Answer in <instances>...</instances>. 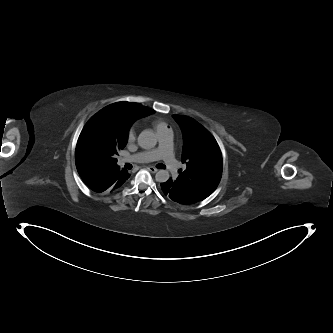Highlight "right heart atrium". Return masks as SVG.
<instances>
[{
	"label": "right heart atrium",
	"instance_id": "1",
	"mask_svg": "<svg viewBox=\"0 0 333 333\" xmlns=\"http://www.w3.org/2000/svg\"><path fill=\"white\" fill-rule=\"evenodd\" d=\"M136 137V133L134 131V129H128V131L126 132V136H125V140L127 142V144L132 143L135 140Z\"/></svg>",
	"mask_w": 333,
	"mask_h": 333
}]
</instances>
